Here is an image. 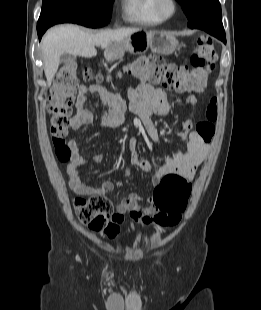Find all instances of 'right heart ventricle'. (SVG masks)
<instances>
[{
	"label": "right heart ventricle",
	"mask_w": 261,
	"mask_h": 310,
	"mask_svg": "<svg viewBox=\"0 0 261 310\" xmlns=\"http://www.w3.org/2000/svg\"><path fill=\"white\" fill-rule=\"evenodd\" d=\"M122 16L125 21L139 26H155L163 22L156 13L154 0H122Z\"/></svg>",
	"instance_id": "right-heart-ventricle-1"
}]
</instances>
